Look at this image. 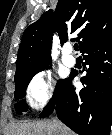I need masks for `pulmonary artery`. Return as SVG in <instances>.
Returning a JSON list of instances; mask_svg holds the SVG:
<instances>
[{"label":"pulmonary artery","mask_w":112,"mask_h":135,"mask_svg":"<svg viewBox=\"0 0 112 135\" xmlns=\"http://www.w3.org/2000/svg\"><path fill=\"white\" fill-rule=\"evenodd\" d=\"M71 50L72 47L70 45L62 48V62L68 67L75 65V57L71 54Z\"/></svg>","instance_id":"pulmonary-artery-1"}]
</instances>
